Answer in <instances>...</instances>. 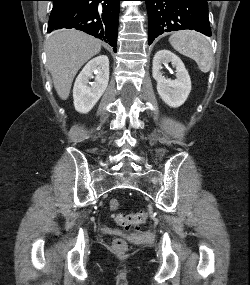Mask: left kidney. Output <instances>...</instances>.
<instances>
[{"mask_svg":"<svg viewBox=\"0 0 250 285\" xmlns=\"http://www.w3.org/2000/svg\"><path fill=\"white\" fill-rule=\"evenodd\" d=\"M171 64L176 68V79H166L162 65ZM153 78L157 82V91L161 99L170 107H180L191 91V80L181 59L169 50L158 51L153 58Z\"/></svg>","mask_w":250,"mask_h":285,"instance_id":"1","label":"left kidney"}]
</instances>
